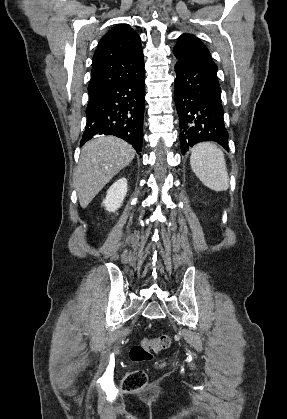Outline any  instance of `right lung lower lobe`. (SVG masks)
<instances>
[{"label":"right lung lower lobe","instance_id":"1","mask_svg":"<svg viewBox=\"0 0 287 419\" xmlns=\"http://www.w3.org/2000/svg\"><path fill=\"white\" fill-rule=\"evenodd\" d=\"M87 124L81 145L99 135H114L141 154L145 101L144 68L89 95Z\"/></svg>","mask_w":287,"mask_h":419}]
</instances>
